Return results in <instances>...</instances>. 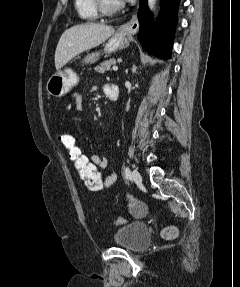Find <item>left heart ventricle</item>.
I'll list each match as a JSON object with an SVG mask.
<instances>
[{
	"label": "left heart ventricle",
	"mask_w": 240,
	"mask_h": 287,
	"mask_svg": "<svg viewBox=\"0 0 240 287\" xmlns=\"http://www.w3.org/2000/svg\"><path fill=\"white\" fill-rule=\"evenodd\" d=\"M106 3L110 6H112V5L119 3V0H106Z\"/></svg>",
	"instance_id": "b2bd125f"
}]
</instances>
